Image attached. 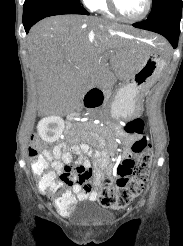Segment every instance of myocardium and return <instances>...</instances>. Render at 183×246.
<instances>
[{"instance_id":"myocardium-1","label":"myocardium","mask_w":183,"mask_h":246,"mask_svg":"<svg viewBox=\"0 0 183 246\" xmlns=\"http://www.w3.org/2000/svg\"><path fill=\"white\" fill-rule=\"evenodd\" d=\"M109 9L112 11V13L118 17L119 19L125 21V22H130V23H135V22H139L141 20H143L151 11L152 8V3L153 0H146V7L144 9V11L142 12V14H140L137 17H127L124 14H122V12L120 11L117 1L116 0H107Z\"/></svg>"}]
</instances>
